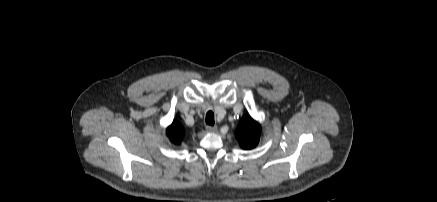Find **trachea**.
Instances as JSON below:
<instances>
[{
	"mask_svg": "<svg viewBox=\"0 0 437 202\" xmlns=\"http://www.w3.org/2000/svg\"><path fill=\"white\" fill-rule=\"evenodd\" d=\"M206 124L213 126L214 125V113L212 111H208L206 114Z\"/></svg>",
	"mask_w": 437,
	"mask_h": 202,
	"instance_id": "trachea-1",
	"label": "trachea"
}]
</instances>
